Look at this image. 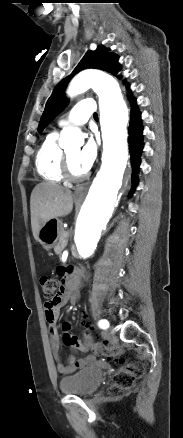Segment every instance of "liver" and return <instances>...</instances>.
Wrapping results in <instances>:
<instances>
[{"instance_id": "liver-1", "label": "liver", "mask_w": 183, "mask_h": 438, "mask_svg": "<svg viewBox=\"0 0 183 438\" xmlns=\"http://www.w3.org/2000/svg\"><path fill=\"white\" fill-rule=\"evenodd\" d=\"M73 209L71 190L57 184L40 183L31 193V227L35 240L41 227L49 220L64 217Z\"/></svg>"}]
</instances>
